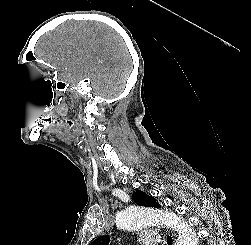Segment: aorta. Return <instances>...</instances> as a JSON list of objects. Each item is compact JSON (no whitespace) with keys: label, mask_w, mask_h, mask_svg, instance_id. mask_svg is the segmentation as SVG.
Wrapping results in <instances>:
<instances>
[{"label":"aorta","mask_w":251,"mask_h":245,"mask_svg":"<svg viewBox=\"0 0 251 245\" xmlns=\"http://www.w3.org/2000/svg\"><path fill=\"white\" fill-rule=\"evenodd\" d=\"M115 223L123 230H139L154 223L163 224L179 234L175 245H198L194 229L185 219L162 210L134 206L117 213Z\"/></svg>","instance_id":"1"}]
</instances>
